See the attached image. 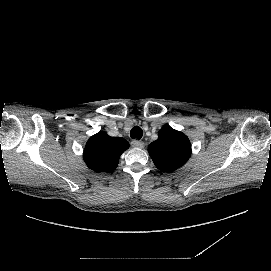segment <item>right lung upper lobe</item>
Segmentation results:
<instances>
[{
  "label": "right lung upper lobe",
  "instance_id": "1",
  "mask_svg": "<svg viewBox=\"0 0 271 271\" xmlns=\"http://www.w3.org/2000/svg\"><path fill=\"white\" fill-rule=\"evenodd\" d=\"M129 148L124 138H115L104 132L93 135L84 149V161L96 172H111L116 169L120 155Z\"/></svg>",
  "mask_w": 271,
  "mask_h": 271
}]
</instances>
